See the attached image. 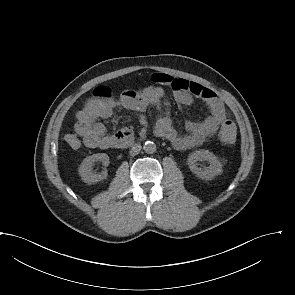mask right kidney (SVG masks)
<instances>
[{"label": "right kidney", "mask_w": 295, "mask_h": 295, "mask_svg": "<svg viewBox=\"0 0 295 295\" xmlns=\"http://www.w3.org/2000/svg\"><path fill=\"white\" fill-rule=\"evenodd\" d=\"M96 161H101L104 166L109 165V157L105 153H97L86 157L79 167V175L82 180L88 184H94L106 179L107 171L96 174L93 172L92 166Z\"/></svg>", "instance_id": "right-kidney-1"}]
</instances>
